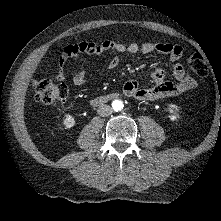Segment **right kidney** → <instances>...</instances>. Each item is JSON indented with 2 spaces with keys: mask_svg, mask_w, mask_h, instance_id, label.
I'll return each instance as SVG.
<instances>
[{
  "mask_svg": "<svg viewBox=\"0 0 221 221\" xmlns=\"http://www.w3.org/2000/svg\"><path fill=\"white\" fill-rule=\"evenodd\" d=\"M62 123L65 126V129H70L71 127H73L75 125V119L71 115L66 114L63 117V122Z\"/></svg>",
  "mask_w": 221,
  "mask_h": 221,
  "instance_id": "right-kidney-1",
  "label": "right kidney"
}]
</instances>
